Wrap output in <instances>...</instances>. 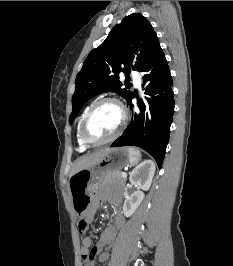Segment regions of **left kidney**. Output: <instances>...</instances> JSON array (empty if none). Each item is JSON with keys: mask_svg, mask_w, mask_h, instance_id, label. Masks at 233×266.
Returning a JSON list of instances; mask_svg holds the SVG:
<instances>
[{"mask_svg": "<svg viewBox=\"0 0 233 266\" xmlns=\"http://www.w3.org/2000/svg\"><path fill=\"white\" fill-rule=\"evenodd\" d=\"M155 173V165L151 160H144L131 172L129 181L137 187V191L126 197L123 205V213L130 217L139 207L144 199V193L141 191L149 190Z\"/></svg>", "mask_w": 233, "mask_h": 266, "instance_id": "1", "label": "left kidney"}]
</instances>
